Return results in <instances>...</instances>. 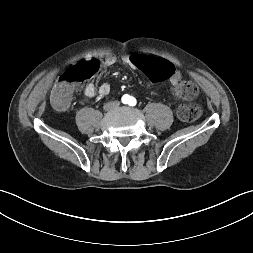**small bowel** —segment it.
I'll return each mask as SVG.
<instances>
[{
    "mask_svg": "<svg viewBox=\"0 0 253 253\" xmlns=\"http://www.w3.org/2000/svg\"><path fill=\"white\" fill-rule=\"evenodd\" d=\"M135 54L125 56L123 58V62L125 64H127L128 66H130L131 68H133V69H140L138 67V65H136L132 60V57ZM141 54H143V53H141ZM96 60H98V59H96ZM98 61H99V63L101 62L105 67H110V66H112L116 63V57L113 54L108 53V54L103 55L100 58V60H98ZM141 70H143V69H141ZM181 77H182L181 72L174 68V72L171 75H168V76L163 77V78H168L169 82L173 86H176L180 82ZM110 90H111V87L108 83H103L99 87H97L94 83H88L84 87V94L87 97H94L96 95H99V96L102 97V96L108 95L110 93Z\"/></svg>",
    "mask_w": 253,
    "mask_h": 253,
    "instance_id": "small-bowel-1",
    "label": "small bowel"
}]
</instances>
